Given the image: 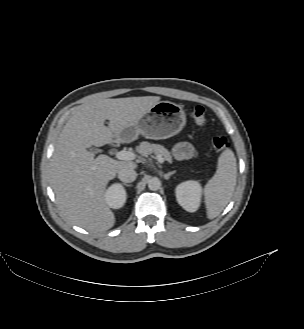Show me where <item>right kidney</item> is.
Returning <instances> with one entry per match:
<instances>
[{
  "instance_id": "obj_1",
  "label": "right kidney",
  "mask_w": 304,
  "mask_h": 329,
  "mask_svg": "<svg viewBox=\"0 0 304 329\" xmlns=\"http://www.w3.org/2000/svg\"><path fill=\"white\" fill-rule=\"evenodd\" d=\"M126 198V190L120 184H112L105 192V201L113 209L121 208Z\"/></svg>"
}]
</instances>
